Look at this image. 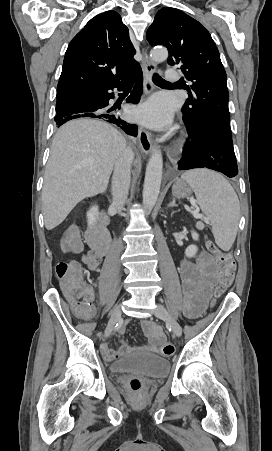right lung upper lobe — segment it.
<instances>
[{
  "mask_svg": "<svg viewBox=\"0 0 272 451\" xmlns=\"http://www.w3.org/2000/svg\"><path fill=\"white\" fill-rule=\"evenodd\" d=\"M128 28L115 11L90 20L65 53L57 98L84 89L107 87L131 73L138 62Z\"/></svg>",
  "mask_w": 272,
  "mask_h": 451,
  "instance_id": "obj_1",
  "label": "right lung upper lobe"
}]
</instances>
